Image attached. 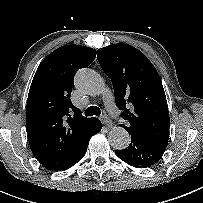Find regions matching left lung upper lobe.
Returning a JSON list of instances; mask_svg holds the SVG:
<instances>
[{"instance_id": "1", "label": "left lung upper lobe", "mask_w": 203, "mask_h": 203, "mask_svg": "<svg viewBox=\"0 0 203 203\" xmlns=\"http://www.w3.org/2000/svg\"><path fill=\"white\" fill-rule=\"evenodd\" d=\"M103 71L111 78L121 124L130 134L168 144L170 118L160 76L149 59L128 44L109 45L97 51Z\"/></svg>"}]
</instances>
